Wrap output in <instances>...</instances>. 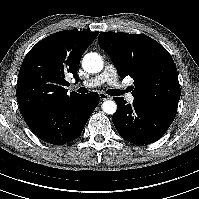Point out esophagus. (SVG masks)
Listing matches in <instances>:
<instances>
[{
    "label": "esophagus",
    "mask_w": 199,
    "mask_h": 199,
    "mask_svg": "<svg viewBox=\"0 0 199 199\" xmlns=\"http://www.w3.org/2000/svg\"><path fill=\"white\" fill-rule=\"evenodd\" d=\"M99 97H100L101 101H105V100L109 99V96L104 92H99Z\"/></svg>",
    "instance_id": "esophagus-1"
}]
</instances>
